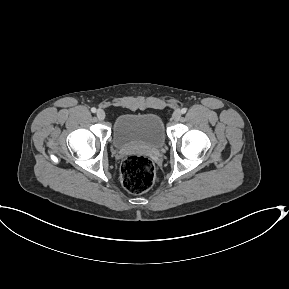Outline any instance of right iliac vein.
I'll return each mask as SVG.
<instances>
[{
  "mask_svg": "<svg viewBox=\"0 0 289 289\" xmlns=\"http://www.w3.org/2000/svg\"><path fill=\"white\" fill-rule=\"evenodd\" d=\"M96 115H97L99 120H104L105 116H106L104 110H102V109L97 110Z\"/></svg>",
  "mask_w": 289,
  "mask_h": 289,
  "instance_id": "obj_1",
  "label": "right iliac vein"
}]
</instances>
